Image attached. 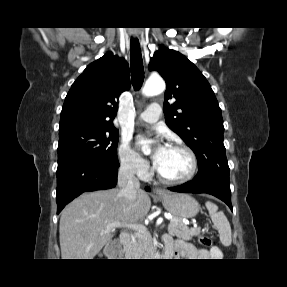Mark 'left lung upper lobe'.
<instances>
[{
  "label": "left lung upper lobe",
  "mask_w": 287,
  "mask_h": 287,
  "mask_svg": "<svg viewBox=\"0 0 287 287\" xmlns=\"http://www.w3.org/2000/svg\"><path fill=\"white\" fill-rule=\"evenodd\" d=\"M166 81L164 114L168 127L194 151V181H229L223 119L215 94L200 70L181 53L161 46L149 63Z\"/></svg>",
  "instance_id": "left-lung-upper-lobe-1"
}]
</instances>
